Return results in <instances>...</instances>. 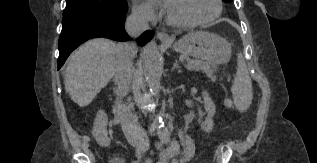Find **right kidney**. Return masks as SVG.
<instances>
[{
  "label": "right kidney",
  "mask_w": 317,
  "mask_h": 163,
  "mask_svg": "<svg viewBox=\"0 0 317 163\" xmlns=\"http://www.w3.org/2000/svg\"><path fill=\"white\" fill-rule=\"evenodd\" d=\"M107 123V114L103 110H99L94 120L92 135L97 143L102 147H107L110 144V139L107 135Z\"/></svg>",
  "instance_id": "obj_1"
}]
</instances>
